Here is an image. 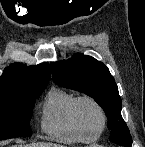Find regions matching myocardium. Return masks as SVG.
Listing matches in <instances>:
<instances>
[{
	"mask_svg": "<svg viewBox=\"0 0 145 147\" xmlns=\"http://www.w3.org/2000/svg\"><path fill=\"white\" fill-rule=\"evenodd\" d=\"M84 103H90L92 106L96 108L98 111L100 118H101V127L99 131L96 134H92L94 137H99L102 135V133L105 131L106 126H107V114L103 108V106L93 97L91 96H79L74 104L73 108V118L75 121V124L77 128L83 132V133H88V130L85 128L83 125L82 119H81V114H80V108L82 104Z\"/></svg>",
	"mask_w": 145,
	"mask_h": 147,
	"instance_id": "myocardium-1",
	"label": "myocardium"
}]
</instances>
